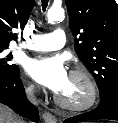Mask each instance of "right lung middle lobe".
Listing matches in <instances>:
<instances>
[{"mask_svg": "<svg viewBox=\"0 0 118 123\" xmlns=\"http://www.w3.org/2000/svg\"><path fill=\"white\" fill-rule=\"evenodd\" d=\"M7 48H0V78H12L19 73V67L11 64L12 54L5 55Z\"/></svg>", "mask_w": 118, "mask_h": 123, "instance_id": "1", "label": "right lung middle lobe"}]
</instances>
